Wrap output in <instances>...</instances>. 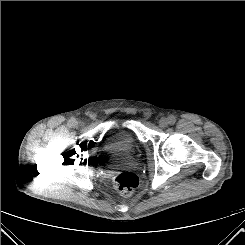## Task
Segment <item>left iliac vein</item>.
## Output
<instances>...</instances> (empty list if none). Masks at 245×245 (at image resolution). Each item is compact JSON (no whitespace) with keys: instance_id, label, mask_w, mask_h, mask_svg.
I'll list each match as a JSON object with an SVG mask.
<instances>
[{"instance_id":"1","label":"left iliac vein","mask_w":245,"mask_h":245,"mask_svg":"<svg viewBox=\"0 0 245 245\" xmlns=\"http://www.w3.org/2000/svg\"><path fill=\"white\" fill-rule=\"evenodd\" d=\"M168 124H169V120L167 118H165V117H163V118H161L159 120V126L162 127V128L167 127Z\"/></svg>"}]
</instances>
